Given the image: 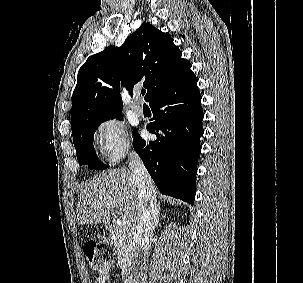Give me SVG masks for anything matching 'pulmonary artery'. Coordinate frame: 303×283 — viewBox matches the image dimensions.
Returning a JSON list of instances; mask_svg holds the SVG:
<instances>
[{
  "label": "pulmonary artery",
  "mask_w": 303,
  "mask_h": 283,
  "mask_svg": "<svg viewBox=\"0 0 303 283\" xmlns=\"http://www.w3.org/2000/svg\"><path fill=\"white\" fill-rule=\"evenodd\" d=\"M132 109L137 116H142L144 113L143 106L139 101V94L136 95V103L133 105Z\"/></svg>",
  "instance_id": "pulmonary-artery-1"
}]
</instances>
